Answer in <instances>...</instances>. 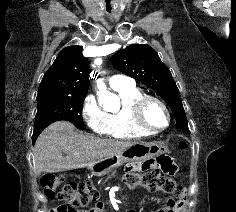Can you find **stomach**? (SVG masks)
<instances>
[{
	"label": "stomach",
	"instance_id": "obj_1",
	"mask_svg": "<svg viewBox=\"0 0 236 212\" xmlns=\"http://www.w3.org/2000/svg\"><path fill=\"white\" fill-rule=\"evenodd\" d=\"M166 151V148L159 143L139 142L127 148L122 153L109 156L91 165L90 171L93 175L101 176L118 168L126 162L145 161L156 157Z\"/></svg>",
	"mask_w": 236,
	"mask_h": 212
}]
</instances>
